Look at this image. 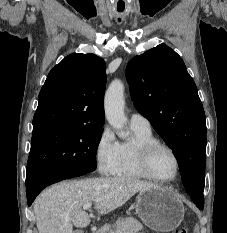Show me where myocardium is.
<instances>
[{"label": "myocardium", "instance_id": "1", "mask_svg": "<svg viewBox=\"0 0 227 233\" xmlns=\"http://www.w3.org/2000/svg\"><path fill=\"white\" fill-rule=\"evenodd\" d=\"M160 149L168 151L174 158L175 161V174L172 178L162 179L157 177L151 169V158L153 154ZM137 162L141 172L145 175L146 178H149L153 181L160 183H170L175 181L180 174V159L173 148L169 145L164 144L159 141L150 142L143 144L137 149Z\"/></svg>", "mask_w": 227, "mask_h": 233}]
</instances>
